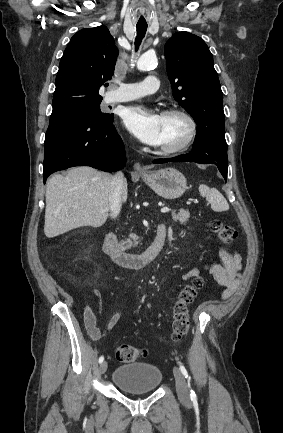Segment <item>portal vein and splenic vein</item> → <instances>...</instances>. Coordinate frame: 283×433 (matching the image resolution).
Listing matches in <instances>:
<instances>
[{
    "label": "portal vein and splenic vein",
    "instance_id": "obj_1",
    "mask_svg": "<svg viewBox=\"0 0 283 433\" xmlns=\"http://www.w3.org/2000/svg\"><path fill=\"white\" fill-rule=\"evenodd\" d=\"M169 210H171V208H168V206H163V208H161V212H169Z\"/></svg>",
    "mask_w": 283,
    "mask_h": 433
}]
</instances>
